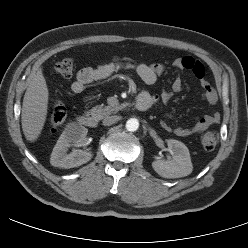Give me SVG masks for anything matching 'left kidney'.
Wrapping results in <instances>:
<instances>
[{
  "label": "left kidney",
  "mask_w": 248,
  "mask_h": 248,
  "mask_svg": "<svg viewBox=\"0 0 248 248\" xmlns=\"http://www.w3.org/2000/svg\"><path fill=\"white\" fill-rule=\"evenodd\" d=\"M171 160H156L152 163L153 169L164 178H180L192 173L193 166L188 148L180 141H167Z\"/></svg>",
  "instance_id": "left-kidney-1"
}]
</instances>
